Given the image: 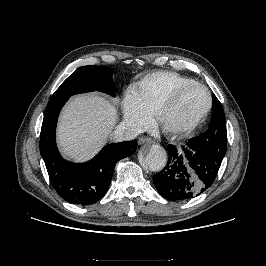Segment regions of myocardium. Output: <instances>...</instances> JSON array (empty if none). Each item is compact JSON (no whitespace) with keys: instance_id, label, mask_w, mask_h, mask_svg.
<instances>
[{"instance_id":"1","label":"myocardium","mask_w":266,"mask_h":266,"mask_svg":"<svg viewBox=\"0 0 266 266\" xmlns=\"http://www.w3.org/2000/svg\"><path fill=\"white\" fill-rule=\"evenodd\" d=\"M190 87H198V88H201L205 91V93L207 95V106H206L205 110L197 118H195L194 120H192L188 123L177 125V126L164 125L163 124V117H164L165 113L174 105V103L176 102L178 97L185 90H187ZM212 104H213V100H212L211 92L209 91V89L205 85L198 83V82H195V81L190 82V83H186V84H183V85H180V86L174 88L161 101V103L158 105V107L156 108L155 113H154L155 123L165 133H169V134L186 133V132H189V131L195 129L200 123H202L204 121V119L208 116V114L210 113V111L212 109Z\"/></svg>"}]
</instances>
